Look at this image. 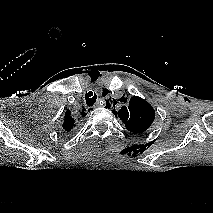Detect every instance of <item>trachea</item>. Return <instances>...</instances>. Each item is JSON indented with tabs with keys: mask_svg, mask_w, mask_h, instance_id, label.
I'll return each instance as SVG.
<instances>
[{
	"mask_svg": "<svg viewBox=\"0 0 213 213\" xmlns=\"http://www.w3.org/2000/svg\"><path fill=\"white\" fill-rule=\"evenodd\" d=\"M86 103L88 106H93L94 103L96 102L97 96L96 94H93V92H88L85 95Z\"/></svg>",
	"mask_w": 213,
	"mask_h": 213,
	"instance_id": "3493384b",
	"label": "trachea"
}]
</instances>
